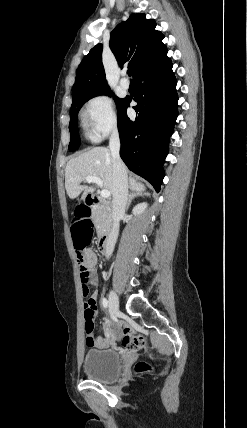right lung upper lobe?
Listing matches in <instances>:
<instances>
[{
    "label": "right lung upper lobe",
    "instance_id": "right-lung-upper-lobe-1",
    "mask_svg": "<svg viewBox=\"0 0 247 428\" xmlns=\"http://www.w3.org/2000/svg\"><path fill=\"white\" fill-rule=\"evenodd\" d=\"M155 27L154 20L138 13L132 14L111 32L110 49L121 67L127 65L132 69L134 78L167 56V47L162 43L164 35ZM102 48V44L93 47L79 65L72 88V104L110 89L102 65Z\"/></svg>",
    "mask_w": 247,
    "mask_h": 428
}]
</instances>
